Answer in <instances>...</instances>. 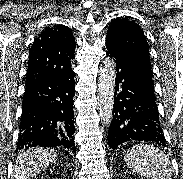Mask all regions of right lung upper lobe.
I'll use <instances>...</instances> for the list:
<instances>
[{
	"mask_svg": "<svg viewBox=\"0 0 183 179\" xmlns=\"http://www.w3.org/2000/svg\"><path fill=\"white\" fill-rule=\"evenodd\" d=\"M76 43L72 31L63 25L46 28L36 38L29 52L26 82L40 77L70 78L74 76L71 60Z\"/></svg>",
	"mask_w": 183,
	"mask_h": 179,
	"instance_id": "cb5924a9",
	"label": "right lung upper lobe"
}]
</instances>
